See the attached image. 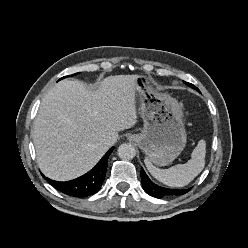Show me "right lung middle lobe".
Instances as JSON below:
<instances>
[{
  "mask_svg": "<svg viewBox=\"0 0 248 248\" xmlns=\"http://www.w3.org/2000/svg\"><path fill=\"white\" fill-rule=\"evenodd\" d=\"M76 74H78V73H75V74H73V75H76ZM63 78H65V77H63ZM63 78H61V79H63Z\"/></svg>",
  "mask_w": 248,
  "mask_h": 248,
  "instance_id": "obj_1",
  "label": "right lung middle lobe"
}]
</instances>
